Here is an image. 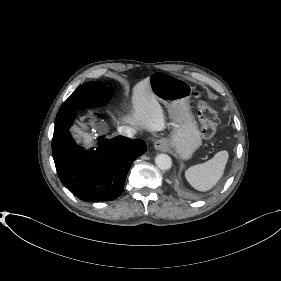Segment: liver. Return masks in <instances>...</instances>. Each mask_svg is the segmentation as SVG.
I'll return each mask as SVG.
<instances>
[{
  "mask_svg": "<svg viewBox=\"0 0 281 281\" xmlns=\"http://www.w3.org/2000/svg\"><path fill=\"white\" fill-rule=\"evenodd\" d=\"M133 112L125 119L126 122L138 125L150 131H161L165 127L162 108L153 94L149 78H146L133 87ZM74 132L82 138L86 147L92 146L93 136L84 130L74 127Z\"/></svg>",
  "mask_w": 281,
  "mask_h": 281,
  "instance_id": "1",
  "label": "liver"
}]
</instances>
